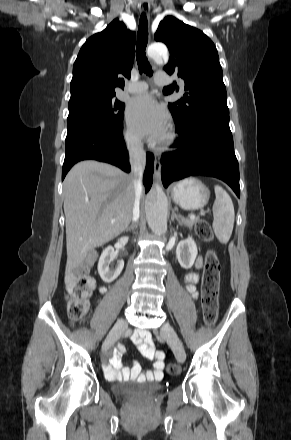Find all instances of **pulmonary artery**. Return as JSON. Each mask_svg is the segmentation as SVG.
<instances>
[{
  "label": "pulmonary artery",
  "instance_id": "e3ab8cb5",
  "mask_svg": "<svg viewBox=\"0 0 291 440\" xmlns=\"http://www.w3.org/2000/svg\"><path fill=\"white\" fill-rule=\"evenodd\" d=\"M154 82L159 86H165L171 83V76L166 73H158L154 77ZM148 84L145 81H135L127 87V92L132 94H138L146 91Z\"/></svg>",
  "mask_w": 291,
  "mask_h": 440
}]
</instances>
